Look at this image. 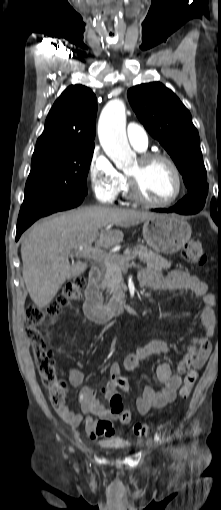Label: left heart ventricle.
I'll use <instances>...</instances> for the list:
<instances>
[{
	"instance_id": "obj_1",
	"label": "left heart ventricle",
	"mask_w": 221,
	"mask_h": 510,
	"mask_svg": "<svg viewBox=\"0 0 221 510\" xmlns=\"http://www.w3.org/2000/svg\"><path fill=\"white\" fill-rule=\"evenodd\" d=\"M127 173L138 180L141 194L149 200L165 201L175 193V175L164 161L143 165L137 160Z\"/></svg>"
}]
</instances>
